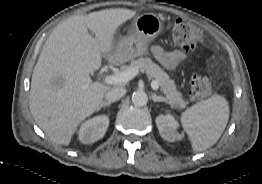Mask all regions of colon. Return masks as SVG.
I'll return each instance as SVG.
<instances>
[{
    "label": "colon",
    "mask_w": 262,
    "mask_h": 184,
    "mask_svg": "<svg viewBox=\"0 0 262 184\" xmlns=\"http://www.w3.org/2000/svg\"><path fill=\"white\" fill-rule=\"evenodd\" d=\"M173 41L185 48L193 50L202 41L203 33L201 29L183 19H176L169 25ZM211 92L209 79L202 74H194L190 79L189 93L192 101H199L207 97Z\"/></svg>",
    "instance_id": "colon-1"
}]
</instances>
